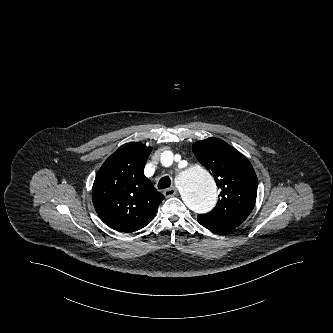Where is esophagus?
<instances>
[{
    "label": "esophagus",
    "mask_w": 333,
    "mask_h": 333,
    "mask_svg": "<svg viewBox=\"0 0 333 333\" xmlns=\"http://www.w3.org/2000/svg\"><path fill=\"white\" fill-rule=\"evenodd\" d=\"M175 195H177V189L174 186L170 187V188H167L164 191V196L166 198L174 197Z\"/></svg>",
    "instance_id": "esophagus-1"
}]
</instances>
